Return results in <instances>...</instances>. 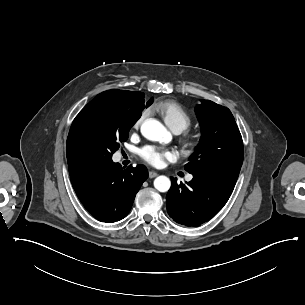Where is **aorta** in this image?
I'll list each match as a JSON object with an SVG mask.
<instances>
[{
  "mask_svg": "<svg viewBox=\"0 0 305 305\" xmlns=\"http://www.w3.org/2000/svg\"><path fill=\"white\" fill-rule=\"evenodd\" d=\"M142 135L151 141H161L168 138L169 132L167 129L155 119H147L141 125ZM171 182L166 176H158L154 180V187L160 192H167L170 189Z\"/></svg>",
  "mask_w": 305,
  "mask_h": 305,
  "instance_id": "aorta-1",
  "label": "aorta"
}]
</instances>
